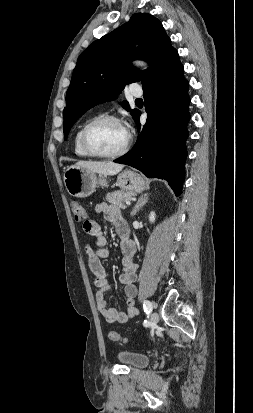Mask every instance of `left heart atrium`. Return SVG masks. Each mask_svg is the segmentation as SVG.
Listing matches in <instances>:
<instances>
[{
  "label": "left heart atrium",
  "mask_w": 253,
  "mask_h": 413,
  "mask_svg": "<svg viewBox=\"0 0 253 413\" xmlns=\"http://www.w3.org/2000/svg\"><path fill=\"white\" fill-rule=\"evenodd\" d=\"M123 128H124L125 131L128 133V127H127V126H123Z\"/></svg>",
  "instance_id": "left-heart-atrium-1"
}]
</instances>
